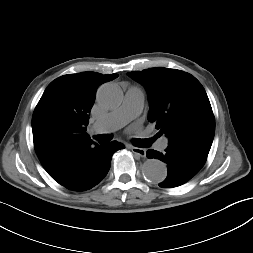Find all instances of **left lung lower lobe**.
Returning a JSON list of instances; mask_svg holds the SVG:
<instances>
[{
  "instance_id": "1",
  "label": "left lung lower lobe",
  "mask_w": 253,
  "mask_h": 253,
  "mask_svg": "<svg viewBox=\"0 0 253 253\" xmlns=\"http://www.w3.org/2000/svg\"><path fill=\"white\" fill-rule=\"evenodd\" d=\"M166 152L149 149L148 158L159 159L167 164L168 174L159 186L172 188L180 186L195 176L206 162L207 155L184 147L168 145Z\"/></svg>"
}]
</instances>
